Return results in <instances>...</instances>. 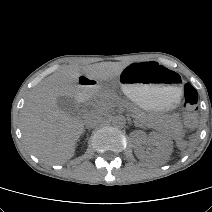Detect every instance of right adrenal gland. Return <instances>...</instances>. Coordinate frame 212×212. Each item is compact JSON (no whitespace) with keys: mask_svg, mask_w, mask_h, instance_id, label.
Instances as JSON below:
<instances>
[{"mask_svg":"<svg viewBox=\"0 0 212 212\" xmlns=\"http://www.w3.org/2000/svg\"><path fill=\"white\" fill-rule=\"evenodd\" d=\"M86 129H89V128H88V127H85V128L83 129V133H85Z\"/></svg>","mask_w":212,"mask_h":212,"instance_id":"1","label":"right adrenal gland"}]
</instances>
